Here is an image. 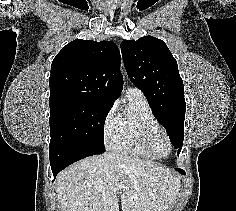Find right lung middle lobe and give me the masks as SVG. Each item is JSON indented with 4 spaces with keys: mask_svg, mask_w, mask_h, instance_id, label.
I'll use <instances>...</instances> for the list:
<instances>
[{
    "mask_svg": "<svg viewBox=\"0 0 236 211\" xmlns=\"http://www.w3.org/2000/svg\"><path fill=\"white\" fill-rule=\"evenodd\" d=\"M112 105L67 102L50 107V145L91 146L104 151V122Z\"/></svg>",
    "mask_w": 236,
    "mask_h": 211,
    "instance_id": "1",
    "label": "right lung middle lobe"
}]
</instances>
